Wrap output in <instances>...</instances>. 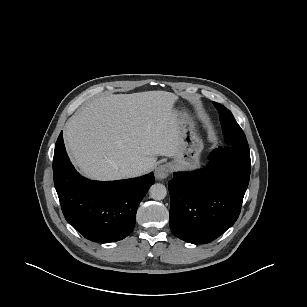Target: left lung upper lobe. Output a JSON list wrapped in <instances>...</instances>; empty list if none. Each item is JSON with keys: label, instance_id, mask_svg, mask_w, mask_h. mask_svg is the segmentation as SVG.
Wrapping results in <instances>:
<instances>
[{"label": "left lung upper lobe", "instance_id": "5c2ea615", "mask_svg": "<svg viewBox=\"0 0 307 307\" xmlns=\"http://www.w3.org/2000/svg\"><path fill=\"white\" fill-rule=\"evenodd\" d=\"M213 104L220 115V122L223 128L226 145L244 152H249L246 136L232 113L219 103L213 102Z\"/></svg>", "mask_w": 307, "mask_h": 307}]
</instances>
